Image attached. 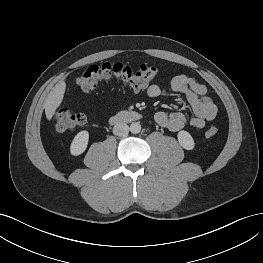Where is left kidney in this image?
Returning <instances> with one entry per match:
<instances>
[{"mask_svg":"<svg viewBox=\"0 0 263 263\" xmlns=\"http://www.w3.org/2000/svg\"><path fill=\"white\" fill-rule=\"evenodd\" d=\"M179 144L186 150H192L195 147V142L192 136L187 131H179L177 134Z\"/></svg>","mask_w":263,"mask_h":263,"instance_id":"left-kidney-1","label":"left kidney"}]
</instances>
